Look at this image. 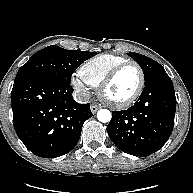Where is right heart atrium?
<instances>
[{
	"mask_svg": "<svg viewBox=\"0 0 193 193\" xmlns=\"http://www.w3.org/2000/svg\"><path fill=\"white\" fill-rule=\"evenodd\" d=\"M71 85L77 90L83 97H88L90 95V89L88 84L80 77L78 74H73L71 76Z\"/></svg>",
	"mask_w": 193,
	"mask_h": 193,
	"instance_id": "1",
	"label": "right heart atrium"
}]
</instances>
